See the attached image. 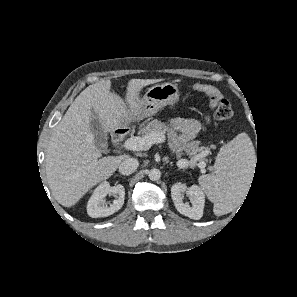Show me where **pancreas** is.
I'll list each match as a JSON object with an SVG mask.
<instances>
[{
  "label": "pancreas",
  "instance_id": "cf45deb5",
  "mask_svg": "<svg viewBox=\"0 0 297 297\" xmlns=\"http://www.w3.org/2000/svg\"><path fill=\"white\" fill-rule=\"evenodd\" d=\"M166 132H171V129H169L165 123L159 121V120H153L151 122H149L146 126H144L141 129V134L142 136H147L151 133H161V134H165ZM192 146L191 144H184L176 153L177 157H180L181 154L183 153V151L187 152L190 154V156L192 157L193 155L196 154L197 151H200L201 149H199L198 147L195 150H192ZM202 161V158H201ZM190 167H194L195 165H197V162L195 160H192L190 162ZM202 168V167H201ZM202 170H204V168H202Z\"/></svg>",
  "mask_w": 297,
  "mask_h": 297
}]
</instances>
